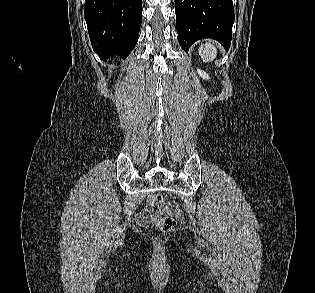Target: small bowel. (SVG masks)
I'll list each match as a JSON object with an SVG mask.
<instances>
[{"label": "small bowel", "instance_id": "small-bowel-1", "mask_svg": "<svg viewBox=\"0 0 315 293\" xmlns=\"http://www.w3.org/2000/svg\"><path fill=\"white\" fill-rule=\"evenodd\" d=\"M157 219H158V213L154 212L153 210L149 208L143 209L137 217L138 223L142 225L153 223Z\"/></svg>", "mask_w": 315, "mask_h": 293}]
</instances>
